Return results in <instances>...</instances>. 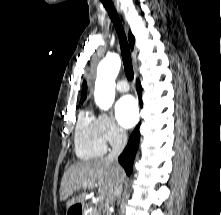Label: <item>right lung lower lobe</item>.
<instances>
[{
    "label": "right lung lower lobe",
    "mask_w": 221,
    "mask_h": 215,
    "mask_svg": "<svg viewBox=\"0 0 221 215\" xmlns=\"http://www.w3.org/2000/svg\"><path fill=\"white\" fill-rule=\"evenodd\" d=\"M137 91L139 95V101L142 106V100H141L142 87L139 81H137ZM139 126L140 124H138L134 129V131L132 132L127 146L125 147L123 153L118 158L119 163L123 166L127 175H130L132 172L133 161L140 140Z\"/></svg>",
    "instance_id": "1"
}]
</instances>
